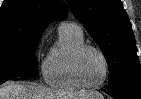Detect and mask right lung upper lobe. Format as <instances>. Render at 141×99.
<instances>
[{
    "label": "right lung upper lobe",
    "instance_id": "right-lung-upper-lobe-1",
    "mask_svg": "<svg viewBox=\"0 0 141 99\" xmlns=\"http://www.w3.org/2000/svg\"><path fill=\"white\" fill-rule=\"evenodd\" d=\"M67 16L60 0H4L0 8V33L42 35L48 23Z\"/></svg>",
    "mask_w": 141,
    "mask_h": 99
}]
</instances>
